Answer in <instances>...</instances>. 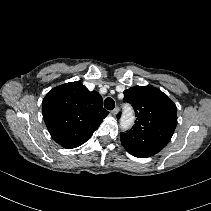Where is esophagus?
I'll return each instance as SVG.
<instances>
[{
	"label": "esophagus",
	"instance_id": "34e87169",
	"mask_svg": "<svg viewBox=\"0 0 211 211\" xmlns=\"http://www.w3.org/2000/svg\"><path fill=\"white\" fill-rule=\"evenodd\" d=\"M118 111H119V109H118V107H116L114 110L111 111V113L113 116H116Z\"/></svg>",
	"mask_w": 211,
	"mask_h": 211
}]
</instances>
